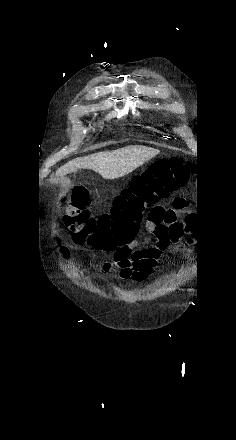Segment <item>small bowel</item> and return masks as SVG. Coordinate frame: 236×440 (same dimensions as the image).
I'll return each instance as SVG.
<instances>
[{
	"label": "small bowel",
	"mask_w": 236,
	"mask_h": 440,
	"mask_svg": "<svg viewBox=\"0 0 236 440\" xmlns=\"http://www.w3.org/2000/svg\"><path fill=\"white\" fill-rule=\"evenodd\" d=\"M188 205L186 198L177 197L171 208L162 205L153 207L146 220L149 233L145 240L146 246L139 247L138 241L118 246L113 253L112 262L102 264V272L107 273L112 267H116L122 279L140 281L147 278L163 260L170 245L182 243L184 236L188 234V226L183 221V210ZM84 263L89 265L91 258L85 256Z\"/></svg>",
	"instance_id": "1"
}]
</instances>
